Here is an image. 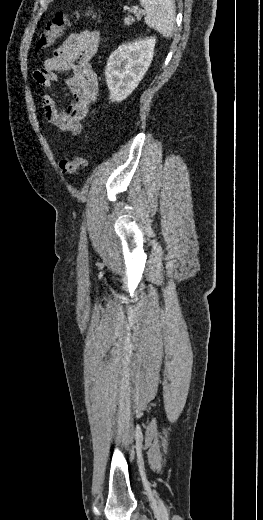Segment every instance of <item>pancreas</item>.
Listing matches in <instances>:
<instances>
[{
    "instance_id": "pancreas-1",
    "label": "pancreas",
    "mask_w": 263,
    "mask_h": 520,
    "mask_svg": "<svg viewBox=\"0 0 263 520\" xmlns=\"http://www.w3.org/2000/svg\"><path fill=\"white\" fill-rule=\"evenodd\" d=\"M129 12L134 13V15L136 16L137 21H139L141 19V10L130 9ZM136 19L134 17H132L131 15H128L124 19V25L125 26L126 25H131L132 23H134L136 21Z\"/></svg>"
}]
</instances>
